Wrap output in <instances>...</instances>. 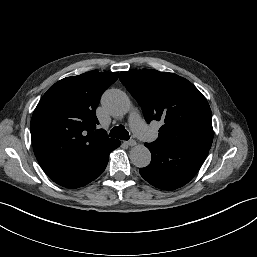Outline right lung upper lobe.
Instances as JSON below:
<instances>
[{
  "label": "right lung upper lobe",
  "mask_w": 257,
  "mask_h": 257,
  "mask_svg": "<svg viewBox=\"0 0 257 257\" xmlns=\"http://www.w3.org/2000/svg\"><path fill=\"white\" fill-rule=\"evenodd\" d=\"M117 79L118 73L90 71L58 81L43 95L30 131L35 156L49 177L77 169L114 140L95 130V109Z\"/></svg>",
  "instance_id": "1"
}]
</instances>
